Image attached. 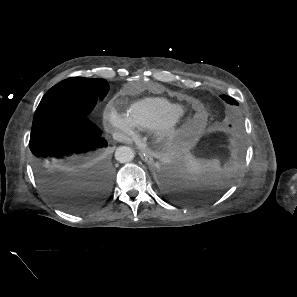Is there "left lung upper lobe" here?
<instances>
[{
  "instance_id": "left-lung-upper-lobe-1",
  "label": "left lung upper lobe",
  "mask_w": 297,
  "mask_h": 297,
  "mask_svg": "<svg viewBox=\"0 0 297 297\" xmlns=\"http://www.w3.org/2000/svg\"><path fill=\"white\" fill-rule=\"evenodd\" d=\"M221 98L231 105H238V102L235 99L227 95H222Z\"/></svg>"
}]
</instances>
